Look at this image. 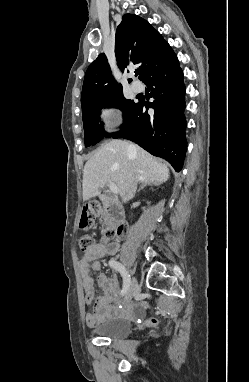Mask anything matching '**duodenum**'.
Returning <instances> with one entry per match:
<instances>
[{
    "mask_svg": "<svg viewBox=\"0 0 249 382\" xmlns=\"http://www.w3.org/2000/svg\"><path fill=\"white\" fill-rule=\"evenodd\" d=\"M104 210L107 213L108 219L115 224H119L124 216L123 209L118 201L107 194L101 195Z\"/></svg>",
    "mask_w": 249,
    "mask_h": 382,
    "instance_id": "duodenum-1",
    "label": "duodenum"
}]
</instances>
